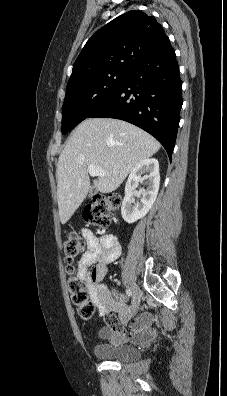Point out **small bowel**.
Listing matches in <instances>:
<instances>
[{
	"label": "small bowel",
	"mask_w": 227,
	"mask_h": 396,
	"mask_svg": "<svg viewBox=\"0 0 227 396\" xmlns=\"http://www.w3.org/2000/svg\"><path fill=\"white\" fill-rule=\"evenodd\" d=\"M82 234L87 243V250L78 262L77 277L86 285L91 302L100 314H106L107 325L100 329L99 335L112 343L131 340L148 343L155 336L151 328L152 316L143 313L135 317L132 307L127 304L126 296L109 290L102 283L107 267L118 259L121 253L118 240L113 236L97 237L91 230L83 229ZM118 315V319L114 315ZM131 323L127 332L125 325Z\"/></svg>",
	"instance_id": "obj_1"
}]
</instances>
